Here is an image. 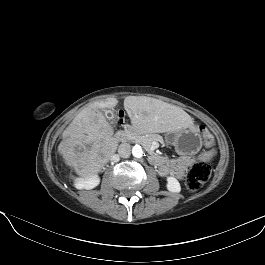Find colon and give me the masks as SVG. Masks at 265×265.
Listing matches in <instances>:
<instances>
[{
  "mask_svg": "<svg viewBox=\"0 0 265 265\" xmlns=\"http://www.w3.org/2000/svg\"><path fill=\"white\" fill-rule=\"evenodd\" d=\"M125 122V114L123 111H118L116 114V124L117 126H122ZM205 144L211 146L213 139L211 135L205 134L204 137ZM211 166L203 161L197 162L191 166L186 178V185L189 190L197 191L199 190L205 182L211 176Z\"/></svg>",
  "mask_w": 265,
  "mask_h": 265,
  "instance_id": "colon-1",
  "label": "colon"
}]
</instances>
